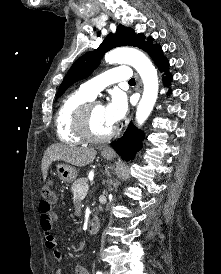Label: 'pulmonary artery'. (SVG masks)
I'll use <instances>...</instances> for the list:
<instances>
[{
    "instance_id": "e3ab8cb5",
    "label": "pulmonary artery",
    "mask_w": 221,
    "mask_h": 274,
    "mask_svg": "<svg viewBox=\"0 0 221 274\" xmlns=\"http://www.w3.org/2000/svg\"><path fill=\"white\" fill-rule=\"evenodd\" d=\"M131 78L132 72L130 68L126 66H120L112 68L83 83L80 89L94 98L106 86L117 82L128 81Z\"/></svg>"
}]
</instances>
